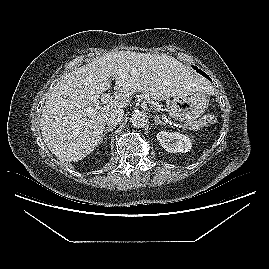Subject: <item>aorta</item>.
Masks as SVG:
<instances>
[{
	"label": "aorta",
	"instance_id": "1",
	"mask_svg": "<svg viewBox=\"0 0 269 269\" xmlns=\"http://www.w3.org/2000/svg\"><path fill=\"white\" fill-rule=\"evenodd\" d=\"M131 124L136 128H142L147 124L146 114L141 111H135L130 118Z\"/></svg>",
	"mask_w": 269,
	"mask_h": 269
}]
</instances>
